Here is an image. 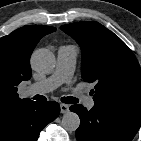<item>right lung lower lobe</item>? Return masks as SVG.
I'll return each instance as SVG.
<instances>
[{
    "label": "right lung lower lobe",
    "mask_w": 141,
    "mask_h": 141,
    "mask_svg": "<svg viewBox=\"0 0 141 141\" xmlns=\"http://www.w3.org/2000/svg\"><path fill=\"white\" fill-rule=\"evenodd\" d=\"M60 113L56 102H31L0 120V141H37L42 129Z\"/></svg>",
    "instance_id": "1"
}]
</instances>
